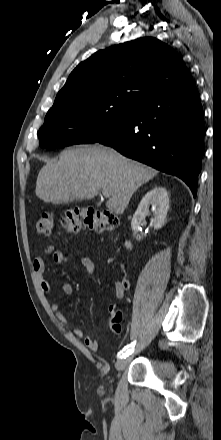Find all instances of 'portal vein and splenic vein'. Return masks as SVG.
<instances>
[{"label": "portal vein and splenic vein", "mask_w": 221, "mask_h": 440, "mask_svg": "<svg viewBox=\"0 0 221 440\" xmlns=\"http://www.w3.org/2000/svg\"><path fill=\"white\" fill-rule=\"evenodd\" d=\"M102 194H103L104 196H106V197L109 196V194H108L106 191H102Z\"/></svg>", "instance_id": "obj_1"}]
</instances>
